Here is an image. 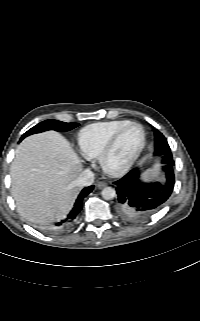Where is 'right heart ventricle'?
Here are the masks:
<instances>
[{"label": "right heart ventricle", "mask_w": 200, "mask_h": 321, "mask_svg": "<svg viewBox=\"0 0 200 321\" xmlns=\"http://www.w3.org/2000/svg\"><path fill=\"white\" fill-rule=\"evenodd\" d=\"M129 120H112L96 122L83 127L78 132V145L81 153L87 158H96L113 136Z\"/></svg>", "instance_id": "right-heart-ventricle-1"}]
</instances>
